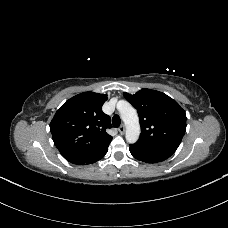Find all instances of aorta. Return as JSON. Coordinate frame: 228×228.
Masks as SVG:
<instances>
[{
  "label": "aorta",
  "instance_id": "aorta-1",
  "mask_svg": "<svg viewBox=\"0 0 228 228\" xmlns=\"http://www.w3.org/2000/svg\"><path fill=\"white\" fill-rule=\"evenodd\" d=\"M122 120L126 126V140L128 143H135L139 139L140 124L136 110L126 101H119L117 104Z\"/></svg>",
  "mask_w": 228,
  "mask_h": 228
}]
</instances>
